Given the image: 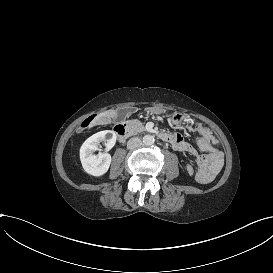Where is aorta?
<instances>
[{
	"label": "aorta",
	"mask_w": 273,
	"mask_h": 273,
	"mask_svg": "<svg viewBox=\"0 0 273 273\" xmlns=\"http://www.w3.org/2000/svg\"><path fill=\"white\" fill-rule=\"evenodd\" d=\"M155 142L154 136L153 135H145L143 137V144L146 146L153 145Z\"/></svg>",
	"instance_id": "762f6f07"
}]
</instances>
